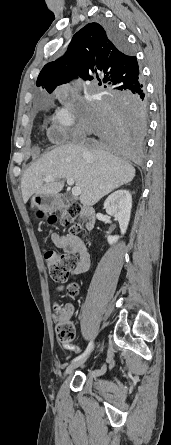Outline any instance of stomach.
I'll return each instance as SVG.
<instances>
[{"label": "stomach", "mask_w": 171, "mask_h": 445, "mask_svg": "<svg viewBox=\"0 0 171 445\" xmlns=\"http://www.w3.org/2000/svg\"><path fill=\"white\" fill-rule=\"evenodd\" d=\"M31 205L40 207L47 212H53L58 208V197L36 194L31 199Z\"/></svg>", "instance_id": "obj_1"}]
</instances>
